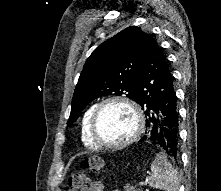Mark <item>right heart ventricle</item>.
Here are the masks:
<instances>
[{
  "mask_svg": "<svg viewBox=\"0 0 221 191\" xmlns=\"http://www.w3.org/2000/svg\"><path fill=\"white\" fill-rule=\"evenodd\" d=\"M95 107L96 105H92L85 111L80 126L81 141L85 147L90 149H96L99 147L90 136V119Z\"/></svg>",
  "mask_w": 221,
  "mask_h": 191,
  "instance_id": "e07e8e85",
  "label": "right heart ventricle"
}]
</instances>
